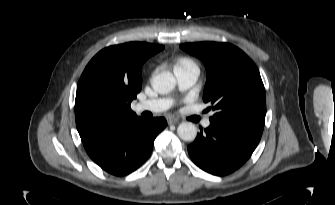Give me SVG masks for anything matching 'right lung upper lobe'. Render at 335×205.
Segmentation results:
<instances>
[{"label":"right lung upper lobe","mask_w":335,"mask_h":205,"mask_svg":"<svg viewBox=\"0 0 335 205\" xmlns=\"http://www.w3.org/2000/svg\"><path fill=\"white\" fill-rule=\"evenodd\" d=\"M163 49L129 42L104 48L91 59L75 99L76 126L83 143L107 137L139 118L130 103L141 90L142 65Z\"/></svg>","instance_id":"1"}]
</instances>
